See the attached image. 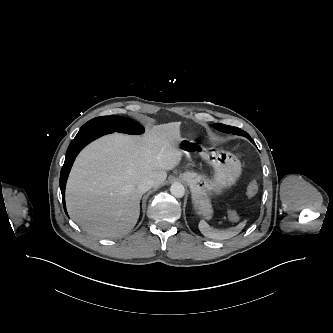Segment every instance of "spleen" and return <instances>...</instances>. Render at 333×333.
<instances>
[{
	"mask_svg": "<svg viewBox=\"0 0 333 333\" xmlns=\"http://www.w3.org/2000/svg\"><path fill=\"white\" fill-rule=\"evenodd\" d=\"M245 225L246 221H243L239 223L236 227H232L227 230H217V229H212L206 221L201 220L199 222V230L204 236L208 238L215 240H224L239 234L241 230L245 227Z\"/></svg>",
	"mask_w": 333,
	"mask_h": 333,
	"instance_id": "3e777b00",
	"label": "spleen"
}]
</instances>
